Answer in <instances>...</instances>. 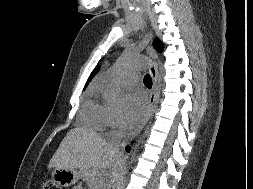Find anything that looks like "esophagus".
I'll list each match as a JSON object with an SVG mask.
<instances>
[{
    "mask_svg": "<svg viewBox=\"0 0 253 189\" xmlns=\"http://www.w3.org/2000/svg\"><path fill=\"white\" fill-rule=\"evenodd\" d=\"M150 55L153 58V62L150 65V67L148 68V72L152 78L153 86H152V91L150 93L148 111H147L145 117L143 118V120L141 121V123L120 144L119 149L121 151L124 150V147L126 144L131 142L137 135L140 134V132L142 131L144 126L147 124V122L151 118V116L155 110L156 104H157V100H158V73H157L158 62H157L156 57L153 52H150Z\"/></svg>",
    "mask_w": 253,
    "mask_h": 189,
    "instance_id": "34e87169",
    "label": "esophagus"
}]
</instances>
